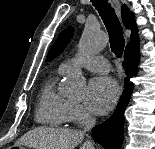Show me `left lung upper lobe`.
Wrapping results in <instances>:
<instances>
[{"instance_id": "1", "label": "left lung upper lobe", "mask_w": 155, "mask_h": 149, "mask_svg": "<svg viewBox=\"0 0 155 149\" xmlns=\"http://www.w3.org/2000/svg\"><path fill=\"white\" fill-rule=\"evenodd\" d=\"M73 30V27H68L63 32H61L54 45L48 52L46 61H51L53 58H55L57 55L64 51V48L68 45L71 37L73 36Z\"/></svg>"}]
</instances>
